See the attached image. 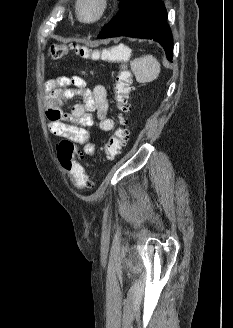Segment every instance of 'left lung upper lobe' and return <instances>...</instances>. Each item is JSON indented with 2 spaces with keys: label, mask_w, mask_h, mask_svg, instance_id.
Wrapping results in <instances>:
<instances>
[{
  "label": "left lung upper lobe",
  "mask_w": 233,
  "mask_h": 328,
  "mask_svg": "<svg viewBox=\"0 0 233 328\" xmlns=\"http://www.w3.org/2000/svg\"><path fill=\"white\" fill-rule=\"evenodd\" d=\"M119 1H120V6H119V7H121L122 4H123L126 0H119Z\"/></svg>",
  "instance_id": "left-lung-upper-lobe-1"
}]
</instances>
